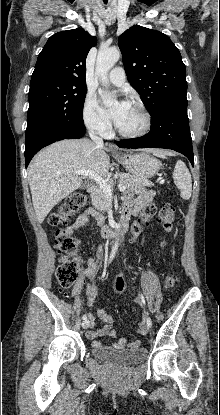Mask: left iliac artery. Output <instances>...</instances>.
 I'll use <instances>...</instances> for the list:
<instances>
[{
  "label": "left iliac artery",
  "instance_id": "obj_1",
  "mask_svg": "<svg viewBox=\"0 0 220 415\" xmlns=\"http://www.w3.org/2000/svg\"><path fill=\"white\" fill-rule=\"evenodd\" d=\"M139 298H140L141 305H145V299L142 293L139 295Z\"/></svg>",
  "mask_w": 220,
  "mask_h": 415
}]
</instances>
